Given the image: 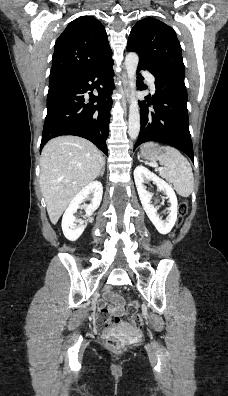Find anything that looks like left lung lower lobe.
Masks as SVG:
<instances>
[{"label":"left lung lower lobe","mask_w":228,"mask_h":396,"mask_svg":"<svg viewBox=\"0 0 228 396\" xmlns=\"http://www.w3.org/2000/svg\"><path fill=\"white\" fill-rule=\"evenodd\" d=\"M142 69L146 70L138 66V70ZM152 74L155 76L156 92L153 97L146 96L145 101L139 102L141 128L134 149L145 142H160L181 150L194 161L184 78ZM138 79L142 84L140 74ZM139 89L143 90L141 86Z\"/></svg>","instance_id":"obj_1"}]
</instances>
